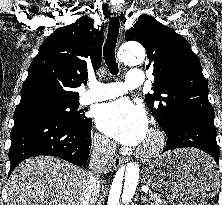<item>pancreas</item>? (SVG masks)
<instances>
[{
    "mask_svg": "<svg viewBox=\"0 0 222 205\" xmlns=\"http://www.w3.org/2000/svg\"><path fill=\"white\" fill-rule=\"evenodd\" d=\"M149 200H150V205H167L168 204L166 200L162 199L158 195H151Z\"/></svg>",
    "mask_w": 222,
    "mask_h": 205,
    "instance_id": "obj_1",
    "label": "pancreas"
}]
</instances>
